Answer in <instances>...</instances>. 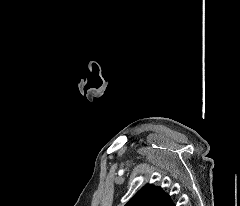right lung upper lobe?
I'll use <instances>...</instances> for the list:
<instances>
[{
    "mask_svg": "<svg viewBox=\"0 0 240 206\" xmlns=\"http://www.w3.org/2000/svg\"><path fill=\"white\" fill-rule=\"evenodd\" d=\"M125 206H175L161 188L147 184Z\"/></svg>",
    "mask_w": 240,
    "mask_h": 206,
    "instance_id": "1",
    "label": "right lung upper lobe"
}]
</instances>
